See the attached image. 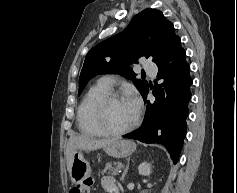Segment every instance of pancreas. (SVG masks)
Listing matches in <instances>:
<instances>
[{"instance_id": "1", "label": "pancreas", "mask_w": 237, "mask_h": 193, "mask_svg": "<svg viewBox=\"0 0 237 193\" xmlns=\"http://www.w3.org/2000/svg\"><path fill=\"white\" fill-rule=\"evenodd\" d=\"M123 167L121 162H108L105 168L101 171V174L108 173L110 175H117L119 170Z\"/></svg>"}]
</instances>
